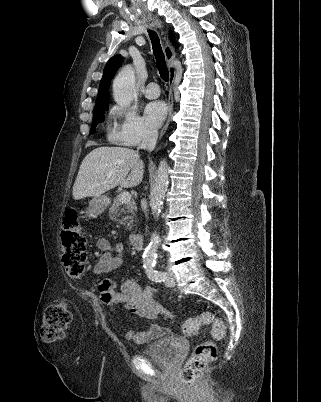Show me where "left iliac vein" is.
<instances>
[{
	"label": "left iliac vein",
	"instance_id": "obj_1",
	"mask_svg": "<svg viewBox=\"0 0 321 402\" xmlns=\"http://www.w3.org/2000/svg\"><path fill=\"white\" fill-rule=\"evenodd\" d=\"M165 284L168 287H173L175 285V277H174V274L171 271H168L166 273Z\"/></svg>",
	"mask_w": 321,
	"mask_h": 402
}]
</instances>
